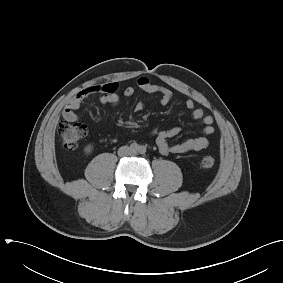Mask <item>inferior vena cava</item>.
Instances as JSON below:
<instances>
[{
  "label": "inferior vena cava",
  "mask_w": 283,
  "mask_h": 283,
  "mask_svg": "<svg viewBox=\"0 0 283 283\" xmlns=\"http://www.w3.org/2000/svg\"><path fill=\"white\" fill-rule=\"evenodd\" d=\"M133 154H134V151L128 146H122L118 150L119 156H129V155H133Z\"/></svg>",
  "instance_id": "inferior-vena-cava-1"
}]
</instances>
